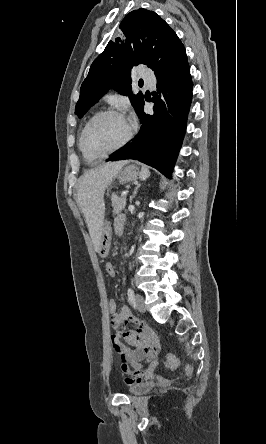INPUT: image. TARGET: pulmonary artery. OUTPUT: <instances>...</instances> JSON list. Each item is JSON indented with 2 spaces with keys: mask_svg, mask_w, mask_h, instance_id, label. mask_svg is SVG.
I'll list each match as a JSON object with an SVG mask.
<instances>
[{
  "mask_svg": "<svg viewBox=\"0 0 266 444\" xmlns=\"http://www.w3.org/2000/svg\"><path fill=\"white\" fill-rule=\"evenodd\" d=\"M139 76L146 82L148 86L153 87L155 85V78L144 68L140 69Z\"/></svg>",
  "mask_w": 266,
  "mask_h": 444,
  "instance_id": "obj_1",
  "label": "pulmonary artery"
}]
</instances>
